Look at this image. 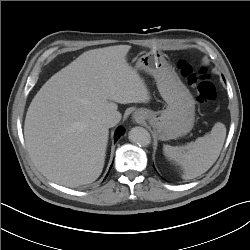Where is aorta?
<instances>
[{"label": "aorta", "mask_w": 250, "mask_h": 250, "mask_svg": "<svg viewBox=\"0 0 250 250\" xmlns=\"http://www.w3.org/2000/svg\"><path fill=\"white\" fill-rule=\"evenodd\" d=\"M128 138L139 146H148L151 142L150 133L143 127L136 126L129 131Z\"/></svg>", "instance_id": "obj_1"}]
</instances>
